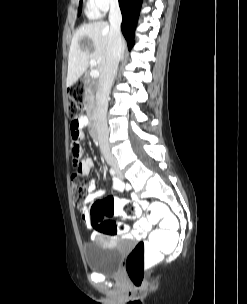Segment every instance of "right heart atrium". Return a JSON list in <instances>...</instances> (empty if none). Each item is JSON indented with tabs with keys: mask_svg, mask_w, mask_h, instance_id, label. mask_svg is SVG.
I'll list each match as a JSON object with an SVG mask.
<instances>
[{
	"mask_svg": "<svg viewBox=\"0 0 247 304\" xmlns=\"http://www.w3.org/2000/svg\"><path fill=\"white\" fill-rule=\"evenodd\" d=\"M91 2L98 12L104 13L115 5L118 0H91Z\"/></svg>",
	"mask_w": 247,
	"mask_h": 304,
	"instance_id": "right-heart-atrium-1",
	"label": "right heart atrium"
}]
</instances>
